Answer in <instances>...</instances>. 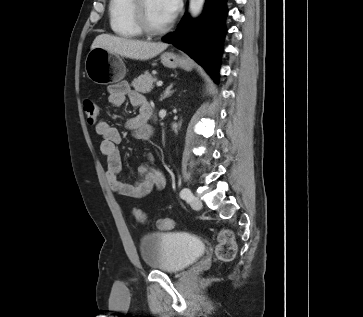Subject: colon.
<instances>
[{
  "label": "colon",
  "instance_id": "1",
  "mask_svg": "<svg viewBox=\"0 0 363 317\" xmlns=\"http://www.w3.org/2000/svg\"><path fill=\"white\" fill-rule=\"evenodd\" d=\"M84 114L87 122L91 125L95 124L98 120L99 110L96 103L92 100H86L83 104ZM135 218L141 222H146V215L139 209L133 210ZM157 226L162 230H171L175 226V221L172 218H163L158 220ZM218 244L215 248V254L219 261L230 262L236 256L237 246L233 238V234L229 230H222L219 232Z\"/></svg>",
  "mask_w": 363,
  "mask_h": 317
}]
</instances>
